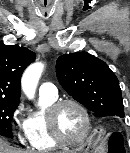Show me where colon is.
I'll use <instances>...</instances> for the list:
<instances>
[{"label": "colon", "instance_id": "colon-1", "mask_svg": "<svg viewBox=\"0 0 130 153\" xmlns=\"http://www.w3.org/2000/svg\"><path fill=\"white\" fill-rule=\"evenodd\" d=\"M108 148L109 153H123L124 143L122 137L117 133L111 134L109 138Z\"/></svg>", "mask_w": 130, "mask_h": 153}]
</instances>
